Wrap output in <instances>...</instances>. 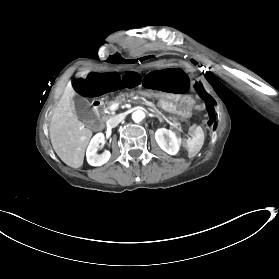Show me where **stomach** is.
Listing matches in <instances>:
<instances>
[{"label":"stomach","instance_id":"stomach-1","mask_svg":"<svg viewBox=\"0 0 279 279\" xmlns=\"http://www.w3.org/2000/svg\"><path fill=\"white\" fill-rule=\"evenodd\" d=\"M158 108L161 111H168L174 119H183L190 113L192 109V101L189 98H165L164 95L159 94L156 97Z\"/></svg>","mask_w":279,"mask_h":279}]
</instances>
